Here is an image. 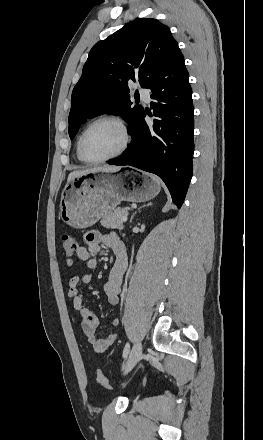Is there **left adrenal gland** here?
<instances>
[{
    "mask_svg": "<svg viewBox=\"0 0 263 440\" xmlns=\"http://www.w3.org/2000/svg\"><path fill=\"white\" fill-rule=\"evenodd\" d=\"M151 205H152V203H148V204H146V205H143V206H141V207L138 208V211H140L143 207L151 206ZM135 214H136V212L131 216L130 222H132V219H133V217L135 216Z\"/></svg>",
    "mask_w": 263,
    "mask_h": 440,
    "instance_id": "obj_1",
    "label": "left adrenal gland"
}]
</instances>
